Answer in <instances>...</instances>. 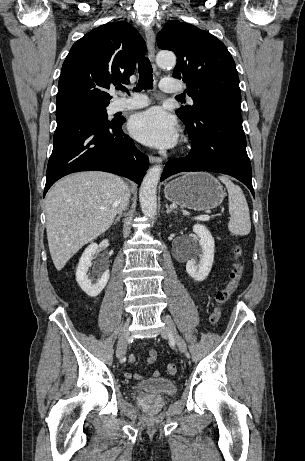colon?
<instances>
[{"mask_svg": "<svg viewBox=\"0 0 305 461\" xmlns=\"http://www.w3.org/2000/svg\"><path fill=\"white\" fill-rule=\"evenodd\" d=\"M234 255H235V263H234L233 269L230 274V279L227 285L223 289H221L216 296L218 305L214 309L210 317V321L212 324H217L219 322L220 314H221V306L224 305L229 300L231 295L238 288V285L243 276L244 264H243V250L241 246L237 245L235 247ZM166 372L169 375H175L177 373V366L174 363L167 364Z\"/></svg>", "mask_w": 305, "mask_h": 461, "instance_id": "colon-1", "label": "colon"}]
</instances>
